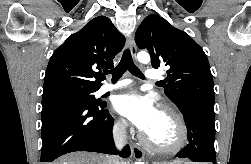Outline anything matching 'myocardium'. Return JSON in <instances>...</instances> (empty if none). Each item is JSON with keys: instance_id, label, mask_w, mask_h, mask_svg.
Returning <instances> with one entry per match:
<instances>
[{"instance_id": "1", "label": "myocardium", "mask_w": 251, "mask_h": 164, "mask_svg": "<svg viewBox=\"0 0 251 164\" xmlns=\"http://www.w3.org/2000/svg\"><path fill=\"white\" fill-rule=\"evenodd\" d=\"M159 113L168 117L175 127V139L168 145L154 144L148 134L142 138L144 146L151 152L159 154H173L180 151L186 144L188 131L184 118L179 111L171 105L163 104Z\"/></svg>"}]
</instances>
